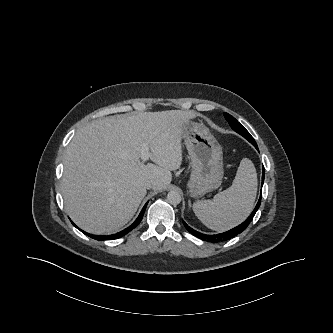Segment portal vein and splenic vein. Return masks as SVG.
<instances>
[{"label":"portal vein and splenic vein","mask_w":333,"mask_h":333,"mask_svg":"<svg viewBox=\"0 0 333 333\" xmlns=\"http://www.w3.org/2000/svg\"><path fill=\"white\" fill-rule=\"evenodd\" d=\"M151 157V153L149 152V147L144 144L141 149V160L147 161Z\"/></svg>","instance_id":"18ae733b"}]
</instances>
